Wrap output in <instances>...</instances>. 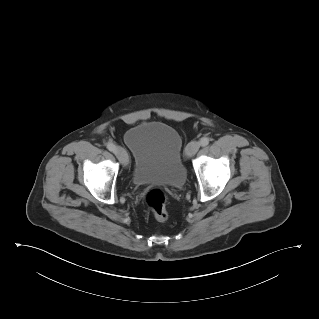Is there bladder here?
<instances>
[{"label": "bladder", "mask_w": 319, "mask_h": 319, "mask_svg": "<svg viewBox=\"0 0 319 319\" xmlns=\"http://www.w3.org/2000/svg\"><path fill=\"white\" fill-rule=\"evenodd\" d=\"M124 143L133 156L135 185L158 184L181 188L187 179L183 141L172 126L144 122L128 129Z\"/></svg>", "instance_id": "bladder-1"}]
</instances>
